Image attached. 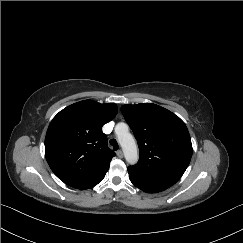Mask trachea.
Returning <instances> with one entry per match:
<instances>
[{"label": "trachea", "instance_id": "1", "mask_svg": "<svg viewBox=\"0 0 243 243\" xmlns=\"http://www.w3.org/2000/svg\"><path fill=\"white\" fill-rule=\"evenodd\" d=\"M110 145H111L112 149L115 151L118 150V148H119L118 143L115 139L110 140Z\"/></svg>", "mask_w": 243, "mask_h": 243}]
</instances>
